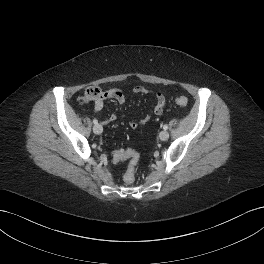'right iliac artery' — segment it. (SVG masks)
<instances>
[{
	"label": "right iliac artery",
	"instance_id": "82829eb1",
	"mask_svg": "<svg viewBox=\"0 0 264 264\" xmlns=\"http://www.w3.org/2000/svg\"><path fill=\"white\" fill-rule=\"evenodd\" d=\"M94 124H98V121L96 119L93 120Z\"/></svg>",
	"mask_w": 264,
	"mask_h": 264
}]
</instances>
